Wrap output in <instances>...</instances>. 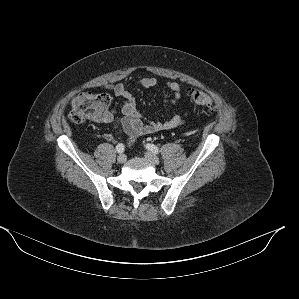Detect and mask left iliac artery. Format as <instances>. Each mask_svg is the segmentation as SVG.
Returning a JSON list of instances; mask_svg holds the SVG:
<instances>
[{
  "label": "left iliac artery",
  "mask_w": 299,
  "mask_h": 299,
  "mask_svg": "<svg viewBox=\"0 0 299 299\" xmlns=\"http://www.w3.org/2000/svg\"><path fill=\"white\" fill-rule=\"evenodd\" d=\"M146 148L148 150H150L151 152L155 153V154H158L159 153V149L157 146H155L154 144H147L146 145Z\"/></svg>",
  "instance_id": "1"
}]
</instances>
